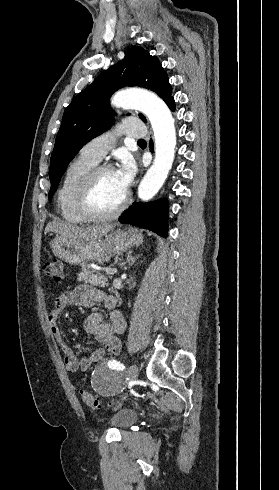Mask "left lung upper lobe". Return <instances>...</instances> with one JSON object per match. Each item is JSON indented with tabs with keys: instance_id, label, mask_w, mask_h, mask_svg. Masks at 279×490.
Here are the masks:
<instances>
[{
	"instance_id": "obj_1",
	"label": "left lung upper lobe",
	"mask_w": 279,
	"mask_h": 490,
	"mask_svg": "<svg viewBox=\"0 0 279 490\" xmlns=\"http://www.w3.org/2000/svg\"><path fill=\"white\" fill-rule=\"evenodd\" d=\"M125 86H139L157 93L166 103L171 98L169 79L158 61L142 47L134 46L125 58L102 72L66 108L56 137L49 168L51 189L55 193L65 167L92 138L108 130L114 122L110 96ZM146 122L145 117L139 114Z\"/></svg>"
}]
</instances>
